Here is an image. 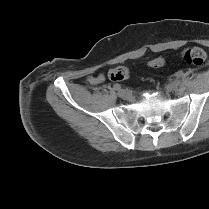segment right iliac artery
<instances>
[{"mask_svg":"<svg viewBox=\"0 0 209 209\" xmlns=\"http://www.w3.org/2000/svg\"><path fill=\"white\" fill-rule=\"evenodd\" d=\"M113 88H114L115 90H120L121 86H120L119 84H115V85L113 86Z\"/></svg>","mask_w":209,"mask_h":209,"instance_id":"obj_1","label":"right iliac artery"}]
</instances>
